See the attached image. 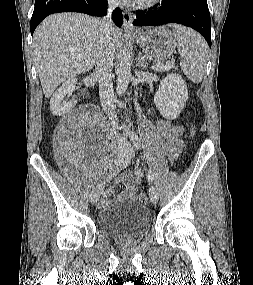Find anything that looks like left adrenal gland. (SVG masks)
I'll return each mask as SVG.
<instances>
[{
    "instance_id": "1",
    "label": "left adrenal gland",
    "mask_w": 253,
    "mask_h": 285,
    "mask_svg": "<svg viewBox=\"0 0 253 285\" xmlns=\"http://www.w3.org/2000/svg\"><path fill=\"white\" fill-rule=\"evenodd\" d=\"M147 64L148 63L145 61L144 57L141 55V53H139L136 66H138L142 69H146Z\"/></svg>"
}]
</instances>
